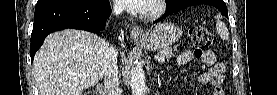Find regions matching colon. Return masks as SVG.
Wrapping results in <instances>:
<instances>
[{"label":"colon","mask_w":277,"mask_h":95,"mask_svg":"<svg viewBox=\"0 0 277 95\" xmlns=\"http://www.w3.org/2000/svg\"><path fill=\"white\" fill-rule=\"evenodd\" d=\"M189 35L196 55L207 51L215 41L214 36L202 26L192 28ZM86 95H94V93L87 92Z\"/></svg>","instance_id":"5ec220e1"}]
</instances>
